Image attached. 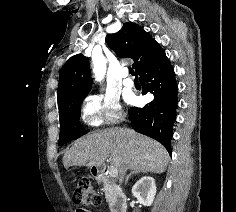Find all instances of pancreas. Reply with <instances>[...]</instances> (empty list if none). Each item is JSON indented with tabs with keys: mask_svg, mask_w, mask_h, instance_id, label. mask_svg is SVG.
Here are the masks:
<instances>
[{
	"mask_svg": "<svg viewBox=\"0 0 236 212\" xmlns=\"http://www.w3.org/2000/svg\"><path fill=\"white\" fill-rule=\"evenodd\" d=\"M104 192H105L106 201L109 202L110 199H111V192H110V190H109L107 184H105V186H104Z\"/></svg>",
	"mask_w": 236,
	"mask_h": 212,
	"instance_id": "cf45deb5",
	"label": "pancreas"
}]
</instances>
